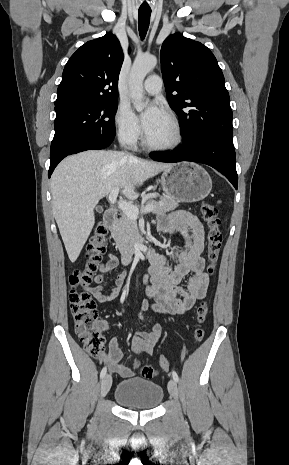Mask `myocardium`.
Returning a JSON list of instances; mask_svg holds the SVG:
<instances>
[{"instance_id":"myocardium-1","label":"myocardium","mask_w":289,"mask_h":465,"mask_svg":"<svg viewBox=\"0 0 289 465\" xmlns=\"http://www.w3.org/2000/svg\"><path fill=\"white\" fill-rule=\"evenodd\" d=\"M164 114L166 115V117L168 118V120L170 121V123L172 125L173 132H174V137H173L172 141H170L168 143L155 144V143L150 142L147 139L146 135H144V137H143V145L149 150H152V151H170V150H174L177 147H179L181 145L182 141H183L182 127H181V124H180L179 120L175 116V114L172 113L169 110H165Z\"/></svg>"}]
</instances>
